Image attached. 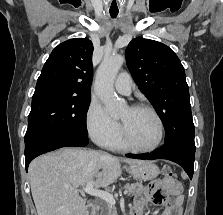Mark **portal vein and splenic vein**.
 Here are the masks:
<instances>
[{
    "label": "portal vein and splenic vein",
    "instance_id": "18ae733b",
    "mask_svg": "<svg viewBox=\"0 0 223 215\" xmlns=\"http://www.w3.org/2000/svg\"><path fill=\"white\" fill-rule=\"evenodd\" d=\"M93 179L92 181H87L86 187H82L80 191H85V193H91V195H97V197H102V199H105V201H108L110 205H115L116 201L112 195V193H109V191H102V189H94L93 187ZM123 194L126 196L128 194V188H125V191H123Z\"/></svg>",
    "mask_w": 223,
    "mask_h": 215
}]
</instances>
